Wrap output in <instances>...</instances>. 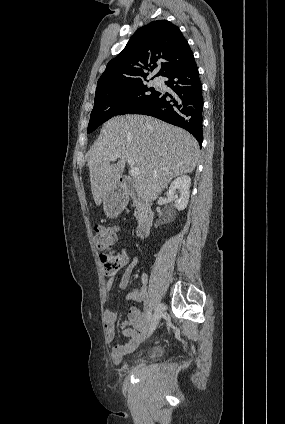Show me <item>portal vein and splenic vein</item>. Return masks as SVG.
<instances>
[{
    "mask_svg": "<svg viewBox=\"0 0 285 424\" xmlns=\"http://www.w3.org/2000/svg\"><path fill=\"white\" fill-rule=\"evenodd\" d=\"M118 155L117 154H113L112 156H110V160L111 161H115L117 159ZM128 164L131 166V170H130V175L133 178H137L140 175V170L138 167H134V161L132 159L128 160Z\"/></svg>",
    "mask_w": 285,
    "mask_h": 424,
    "instance_id": "obj_1",
    "label": "portal vein and splenic vein"
}]
</instances>
